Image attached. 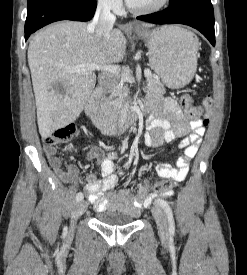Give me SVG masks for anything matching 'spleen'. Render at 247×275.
Here are the masks:
<instances>
[{
	"label": "spleen",
	"mask_w": 247,
	"mask_h": 275,
	"mask_svg": "<svg viewBox=\"0 0 247 275\" xmlns=\"http://www.w3.org/2000/svg\"><path fill=\"white\" fill-rule=\"evenodd\" d=\"M194 44L196 46V49L198 48V40L197 39H194Z\"/></svg>",
	"instance_id": "obj_1"
}]
</instances>
